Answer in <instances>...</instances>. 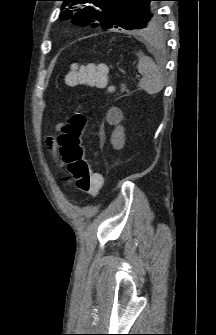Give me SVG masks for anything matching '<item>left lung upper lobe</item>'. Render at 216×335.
<instances>
[{"mask_svg":"<svg viewBox=\"0 0 216 335\" xmlns=\"http://www.w3.org/2000/svg\"><path fill=\"white\" fill-rule=\"evenodd\" d=\"M65 7L76 8L73 21L76 24L102 28L141 29L156 33L162 28L161 16L158 14V0H60ZM89 4V5H86ZM73 16L69 10L63 11L61 19Z\"/></svg>","mask_w":216,"mask_h":335,"instance_id":"left-lung-upper-lobe-1","label":"left lung upper lobe"}]
</instances>
